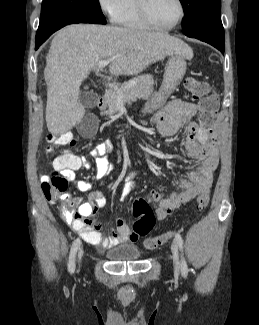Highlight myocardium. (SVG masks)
<instances>
[{"label": "myocardium", "mask_w": 259, "mask_h": 325, "mask_svg": "<svg viewBox=\"0 0 259 325\" xmlns=\"http://www.w3.org/2000/svg\"><path fill=\"white\" fill-rule=\"evenodd\" d=\"M138 2V10H139V14L141 19L143 20V22L145 23V25L153 30H158V31H171L173 29H175L184 19L185 17V6L182 0H176L178 7H179V15L176 19V21L169 25V26H159L157 24H155L148 12V8H147V0H137Z\"/></svg>", "instance_id": "1"}]
</instances>
